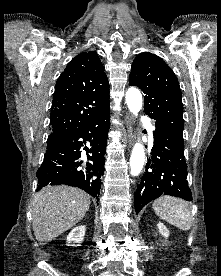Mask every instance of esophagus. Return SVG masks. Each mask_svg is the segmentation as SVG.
Returning a JSON list of instances; mask_svg holds the SVG:
<instances>
[{
    "mask_svg": "<svg viewBox=\"0 0 221 276\" xmlns=\"http://www.w3.org/2000/svg\"><path fill=\"white\" fill-rule=\"evenodd\" d=\"M125 125H126V138L127 144L130 147L132 145V141L134 138L133 127H132V117L129 113H126L124 117Z\"/></svg>",
    "mask_w": 221,
    "mask_h": 276,
    "instance_id": "esophagus-1",
    "label": "esophagus"
}]
</instances>
